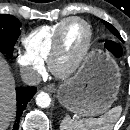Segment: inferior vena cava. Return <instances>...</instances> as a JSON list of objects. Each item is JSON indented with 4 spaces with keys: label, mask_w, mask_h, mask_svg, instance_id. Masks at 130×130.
Returning <instances> with one entry per match:
<instances>
[{
    "label": "inferior vena cava",
    "mask_w": 130,
    "mask_h": 130,
    "mask_svg": "<svg viewBox=\"0 0 130 130\" xmlns=\"http://www.w3.org/2000/svg\"><path fill=\"white\" fill-rule=\"evenodd\" d=\"M23 81L30 86L38 85L41 82V75L31 67H25L21 71Z\"/></svg>",
    "instance_id": "1"
}]
</instances>
